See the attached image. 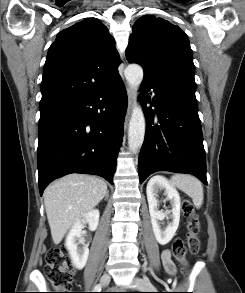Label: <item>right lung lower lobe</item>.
Masks as SVG:
<instances>
[{"mask_svg": "<svg viewBox=\"0 0 245 293\" xmlns=\"http://www.w3.org/2000/svg\"><path fill=\"white\" fill-rule=\"evenodd\" d=\"M126 110L127 94L118 75L40 119V194L53 180L71 173L98 175L113 184Z\"/></svg>", "mask_w": 245, "mask_h": 293, "instance_id": "right-lung-lower-lobe-1", "label": "right lung lower lobe"}]
</instances>
